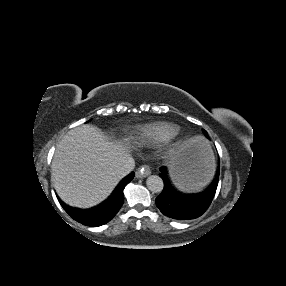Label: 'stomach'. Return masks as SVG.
Masks as SVG:
<instances>
[{
  "label": "stomach",
  "mask_w": 286,
  "mask_h": 286,
  "mask_svg": "<svg viewBox=\"0 0 286 286\" xmlns=\"http://www.w3.org/2000/svg\"><path fill=\"white\" fill-rule=\"evenodd\" d=\"M169 166L175 183L192 188L210 181L215 164L209 144L196 137L182 144L170 156Z\"/></svg>",
  "instance_id": "1"
}]
</instances>
